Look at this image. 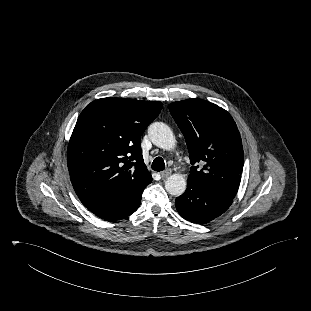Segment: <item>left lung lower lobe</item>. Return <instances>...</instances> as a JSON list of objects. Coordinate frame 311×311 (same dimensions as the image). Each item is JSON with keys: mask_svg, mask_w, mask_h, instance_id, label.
<instances>
[{"mask_svg": "<svg viewBox=\"0 0 311 311\" xmlns=\"http://www.w3.org/2000/svg\"><path fill=\"white\" fill-rule=\"evenodd\" d=\"M232 202V198L208 188L195 179H188L187 189L176 198L175 205L184 219L205 224L224 213Z\"/></svg>", "mask_w": 311, "mask_h": 311, "instance_id": "0a47b994", "label": "left lung lower lobe"}]
</instances>
